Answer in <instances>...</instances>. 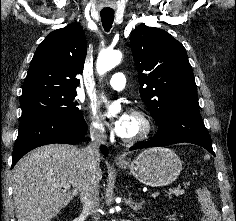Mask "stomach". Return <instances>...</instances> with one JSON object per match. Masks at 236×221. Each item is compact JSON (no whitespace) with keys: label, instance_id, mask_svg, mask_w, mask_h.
Wrapping results in <instances>:
<instances>
[{"label":"stomach","instance_id":"0dacf381","mask_svg":"<svg viewBox=\"0 0 236 221\" xmlns=\"http://www.w3.org/2000/svg\"><path fill=\"white\" fill-rule=\"evenodd\" d=\"M118 166L130 169L137 180L151 187L174 182L182 170V162L177 154L163 147L144 150L132 161L118 163Z\"/></svg>","mask_w":236,"mask_h":221}]
</instances>
